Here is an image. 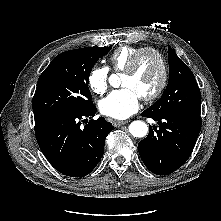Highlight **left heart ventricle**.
Returning <instances> with one entry per match:
<instances>
[{
	"label": "left heart ventricle",
	"instance_id": "obj_1",
	"mask_svg": "<svg viewBox=\"0 0 221 221\" xmlns=\"http://www.w3.org/2000/svg\"><path fill=\"white\" fill-rule=\"evenodd\" d=\"M161 79V65L154 54H144L132 75L124 74L121 85L132 88L140 97L153 92Z\"/></svg>",
	"mask_w": 221,
	"mask_h": 221
}]
</instances>
